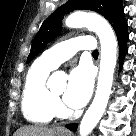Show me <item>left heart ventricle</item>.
<instances>
[{
  "mask_svg": "<svg viewBox=\"0 0 136 136\" xmlns=\"http://www.w3.org/2000/svg\"><path fill=\"white\" fill-rule=\"evenodd\" d=\"M62 92H63V90H62V89H61V90H58V91H55V93H56L57 95L62 94Z\"/></svg>",
  "mask_w": 136,
  "mask_h": 136,
  "instance_id": "b2bd125f",
  "label": "left heart ventricle"
}]
</instances>
